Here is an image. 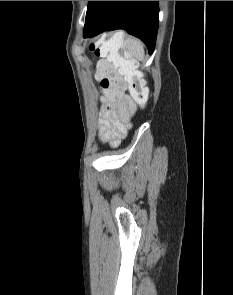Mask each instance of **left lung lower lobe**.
Instances as JSON below:
<instances>
[{"label":"left lung lower lobe","instance_id":"left-lung-lower-lobe-1","mask_svg":"<svg viewBox=\"0 0 233 295\" xmlns=\"http://www.w3.org/2000/svg\"><path fill=\"white\" fill-rule=\"evenodd\" d=\"M158 1H95L86 17L83 37L124 29L141 39L152 54L158 30Z\"/></svg>","mask_w":233,"mask_h":295}]
</instances>
